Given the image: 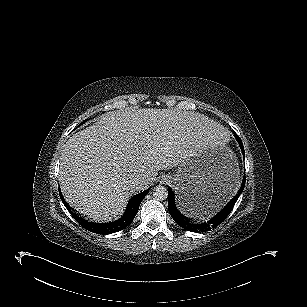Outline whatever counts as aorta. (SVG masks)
Returning a JSON list of instances; mask_svg holds the SVG:
<instances>
[{"instance_id": "762f6f07", "label": "aorta", "mask_w": 307, "mask_h": 307, "mask_svg": "<svg viewBox=\"0 0 307 307\" xmlns=\"http://www.w3.org/2000/svg\"><path fill=\"white\" fill-rule=\"evenodd\" d=\"M153 196L159 201L166 200L168 197V191L164 186H156L153 190Z\"/></svg>"}]
</instances>
